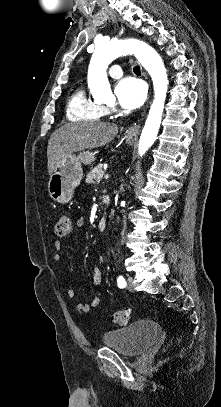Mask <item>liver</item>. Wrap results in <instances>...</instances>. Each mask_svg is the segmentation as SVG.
I'll return each mask as SVG.
<instances>
[{"label":"liver","mask_w":221,"mask_h":407,"mask_svg":"<svg viewBox=\"0 0 221 407\" xmlns=\"http://www.w3.org/2000/svg\"><path fill=\"white\" fill-rule=\"evenodd\" d=\"M114 123L85 121L69 123L55 130L47 147L48 173L51 175L57 163L66 155L85 149L105 146L118 134Z\"/></svg>","instance_id":"obj_1"}]
</instances>
